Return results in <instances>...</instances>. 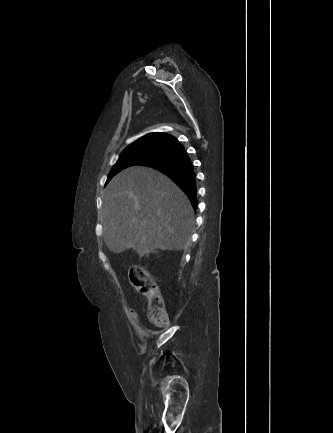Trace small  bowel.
Listing matches in <instances>:
<instances>
[{
	"mask_svg": "<svg viewBox=\"0 0 333 433\" xmlns=\"http://www.w3.org/2000/svg\"><path fill=\"white\" fill-rule=\"evenodd\" d=\"M130 313H131V317H132L133 321L136 324L141 325L142 320H141V317H140V314L138 313V311L133 309L130 311Z\"/></svg>",
	"mask_w": 333,
	"mask_h": 433,
	"instance_id": "obj_1",
	"label": "small bowel"
}]
</instances>
